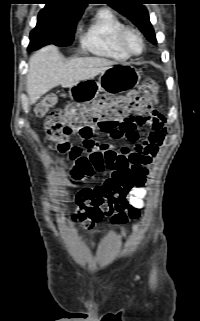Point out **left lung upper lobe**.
Wrapping results in <instances>:
<instances>
[{
    "mask_svg": "<svg viewBox=\"0 0 200 321\" xmlns=\"http://www.w3.org/2000/svg\"><path fill=\"white\" fill-rule=\"evenodd\" d=\"M113 9L127 17L136 25L145 37L156 44V36L150 23L149 14L145 6L144 0H103Z\"/></svg>",
    "mask_w": 200,
    "mask_h": 321,
    "instance_id": "obj_1",
    "label": "left lung upper lobe"
}]
</instances>
